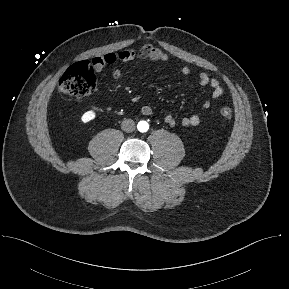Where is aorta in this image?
Masks as SVG:
<instances>
[{
  "label": "aorta",
  "instance_id": "aorta-1",
  "mask_svg": "<svg viewBox=\"0 0 289 289\" xmlns=\"http://www.w3.org/2000/svg\"><path fill=\"white\" fill-rule=\"evenodd\" d=\"M137 127L140 132H146L149 129V125L146 121H140Z\"/></svg>",
  "mask_w": 289,
  "mask_h": 289
}]
</instances>
